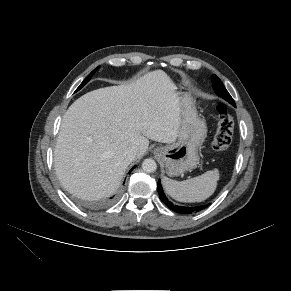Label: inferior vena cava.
I'll use <instances>...</instances> for the list:
<instances>
[{"mask_svg":"<svg viewBox=\"0 0 291 291\" xmlns=\"http://www.w3.org/2000/svg\"><path fill=\"white\" fill-rule=\"evenodd\" d=\"M137 151L138 148L136 146H132L125 151L124 155L128 160L132 161L135 158Z\"/></svg>","mask_w":291,"mask_h":291,"instance_id":"inferior-vena-cava-1","label":"inferior vena cava"}]
</instances>
